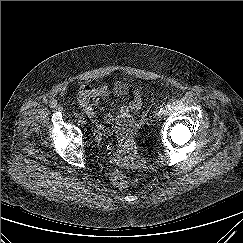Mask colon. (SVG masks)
Listing matches in <instances>:
<instances>
[{
    "mask_svg": "<svg viewBox=\"0 0 243 243\" xmlns=\"http://www.w3.org/2000/svg\"><path fill=\"white\" fill-rule=\"evenodd\" d=\"M113 184L118 188H126L129 184L128 176L123 172H115L112 177Z\"/></svg>",
    "mask_w": 243,
    "mask_h": 243,
    "instance_id": "1",
    "label": "colon"
}]
</instances>
